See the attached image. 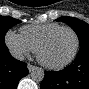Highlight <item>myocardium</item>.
Here are the masks:
<instances>
[{"label": "myocardium", "instance_id": "obj_1", "mask_svg": "<svg viewBox=\"0 0 89 89\" xmlns=\"http://www.w3.org/2000/svg\"><path fill=\"white\" fill-rule=\"evenodd\" d=\"M62 30H68L70 31L74 37H75V47L74 50L72 52V54L64 61L60 62V63H56V64H51L46 62L43 57H42V50L43 48L46 46V44L51 40V38L57 34L58 32L62 31ZM80 47V39H79V35L77 34V32L69 26H61L53 31H51L50 33H48L42 40L41 42L38 44L37 49H36V56H37V60L46 68L49 69H61L66 67L67 65H69L77 56L78 50Z\"/></svg>", "mask_w": 89, "mask_h": 89}]
</instances>
